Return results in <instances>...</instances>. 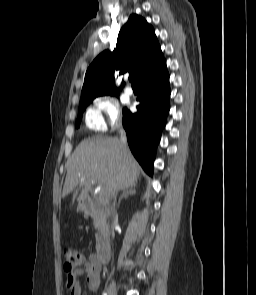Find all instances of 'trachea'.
<instances>
[{"instance_id":"obj_1","label":"trachea","mask_w":256,"mask_h":295,"mask_svg":"<svg viewBox=\"0 0 256 295\" xmlns=\"http://www.w3.org/2000/svg\"><path fill=\"white\" fill-rule=\"evenodd\" d=\"M129 81L131 82V84H133V85L135 84V83H134L133 76H129Z\"/></svg>"}]
</instances>
